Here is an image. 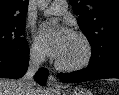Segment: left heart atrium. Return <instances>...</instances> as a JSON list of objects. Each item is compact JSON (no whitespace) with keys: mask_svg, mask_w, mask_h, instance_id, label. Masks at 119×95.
Returning a JSON list of instances; mask_svg holds the SVG:
<instances>
[{"mask_svg":"<svg viewBox=\"0 0 119 95\" xmlns=\"http://www.w3.org/2000/svg\"><path fill=\"white\" fill-rule=\"evenodd\" d=\"M72 36L69 29L47 23L40 27L37 42L46 53L58 60L63 55Z\"/></svg>","mask_w":119,"mask_h":95,"instance_id":"39dd6f15","label":"left heart atrium"}]
</instances>
